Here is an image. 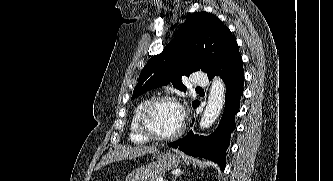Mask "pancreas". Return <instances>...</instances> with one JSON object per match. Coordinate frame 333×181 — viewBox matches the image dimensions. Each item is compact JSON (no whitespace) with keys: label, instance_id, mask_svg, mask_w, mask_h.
Masks as SVG:
<instances>
[{"label":"pancreas","instance_id":"pancreas-1","mask_svg":"<svg viewBox=\"0 0 333 181\" xmlns=\"http://www.w3.org/2000/svg\"><path fill=\"white\" fill-rule=\"evenodd\" d=\"M159 180V178H156L154 181H158Z\"/></svg>","mask_w":333,"mask_h":181}]
</instances>
